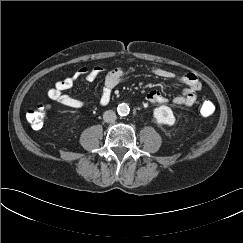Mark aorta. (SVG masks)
<instances>
[{"instance_id": "aorta-1", "label": "aorta", "mask_w": 243, "mask_h": 243, "mask_svg": "<svg viewBox=\"0 0 243 243\" xmlns=\"http://www.w3.org/2000/svg\"><path fill=\"white\" fill-rule=\"evenodd\" d=\"M130 108L126 103H121L117 107V112L120 116H126L129 114Z\"/></svg>"}]
</instances>
